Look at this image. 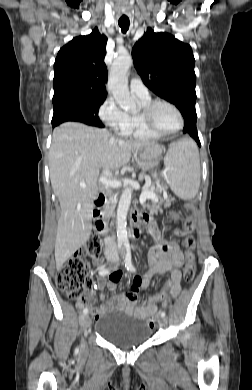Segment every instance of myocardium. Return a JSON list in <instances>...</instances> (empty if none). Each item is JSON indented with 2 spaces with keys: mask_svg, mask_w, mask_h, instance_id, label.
Returning a JSON list of instances; mask_svg holds the SVG:
<instances>
[{
  "mask_svg": "<svg viewBox=\"0 0 252 390\" xmlns=\"http://www.w3.org/2000/svg\"><path fill=\"white\" fill-rule=\"evenodd\" d=\"M161 104L171 107L177 114L179 119V124L174 130L163 131L156 127L153 118L154 112L156 108ZM139 117L144 128L153 135H158V136L173 135L179 132L184 126V117L180 109L172 102L163 99L153 100L147 105L143 106L141 112L139 113Z\"/></svg>",
  "mask_w": 252,
  "mask_h": 390,
  "instance_id": "myocardium-1",
  "label": "myocardium"
}]
</instances>
